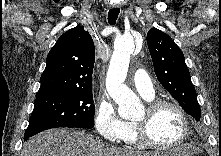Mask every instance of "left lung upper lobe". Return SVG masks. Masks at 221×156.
<instances>
[{"mask_svg": "<svg viewBox=\"0 0 221 156\" xmlns=\"http://www.w3.org/2000/svg\"><path fill=\"white\" fill-rule=\"evenodd\" d=\"M147 44L157 79L184 111L199 122L201 109L182 51L167 34L156 28L148 31Z\"/></svg>", "mask_w": 221, "mask_h": 156, "instance_id": "5c2ea615", "label": "left lung upper lobe"}]
</instances>
